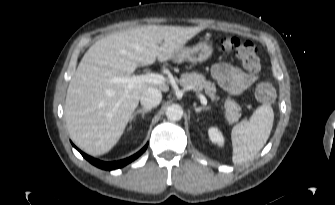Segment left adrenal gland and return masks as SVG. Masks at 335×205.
Listing matches in <instances>:
<instances>
[{
  "label": "left adrenal gland",
  "instance_id": "obj_1",
  "mask_svg": "<svg viewBox=\"0 0 335 205\" xmlns=\"http://www.w3.org/2000/svg\"><path fill=\"white\" fill-rule=\"evenodd\" d=\"M194 107H195V112L196 113H200L202 110L210 109V106H200V107H197L196 105H194Z\"/></svg>",
  "mask_w": 335,
  "mask_h": 205
}]
</instances>
